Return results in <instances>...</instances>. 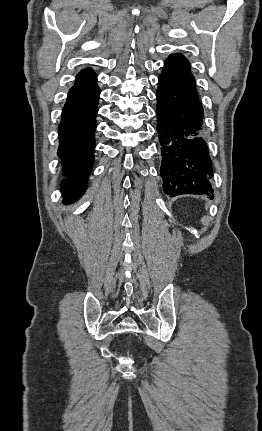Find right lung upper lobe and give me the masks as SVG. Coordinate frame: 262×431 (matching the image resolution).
I'll return each instance as SVG.
<instances>
[{
	"mask_svg": "<svg viewBox=\"0 0 262 431\" xmlns=\"http://www.w3.org/2000/svg\"><path fill=\"white\" fill-rule=\"evenodd\" d=\"M96 81V74L89 69H85L78 74L75 86L95 85Z\"/></svg>",
	"mask_w": 262,
	"mask_h": 431,
	"instance_id": "right-lung-upper-lobe-1",
	"label": "right lung upper lobe"
}]
</instances>
